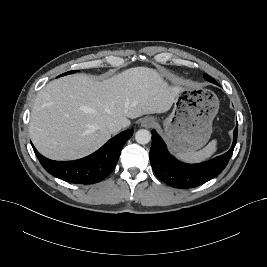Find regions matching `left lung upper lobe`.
<instances>
[{
  "mask_svg": "<svg viewBox=\"0 0 267 267\" xmlns=\"http://www.w3.org/2000/svg\"><path fill=\"white\" fill-rule=\"evenodd\" d=\"M204 78L207 80V81H210L212 82V80H214L213 78H211L209 75L205 74L204 75ZM215 81V80H214ZM216 82V81H215ZM213 83V82H212ZM216 84V83H215Z\"/></svg>",
  "mask_w": 267,
  "mask_h": 267,
  "instance_id": "5c2ea615",
  "label": "left lung upper lobe"
}]
</instances>
